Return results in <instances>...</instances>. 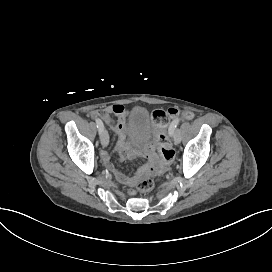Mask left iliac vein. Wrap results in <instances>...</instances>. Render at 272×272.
I'll return each instance as SVG.
<instances>
[{
  "label": "left iliac vein",
  "mask_w": 272,
  "mask_h": 272,
  "mask_svg": "<svg viewBox=\"0 0 272 272\" xmlns=\"http://www.w3.org/2000/svg\"><path fill=\"white\" fill-rule=\"evenodd\" d=\"M174 140H175L176 143H179V142H180V135H179L178 130H176V131L174 132Z\"/></svg>",
  "instance_id": "obj_1"
}]
</instances>
